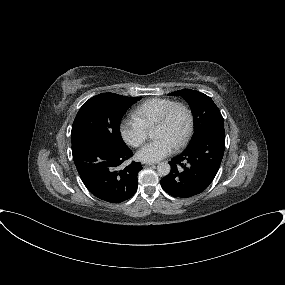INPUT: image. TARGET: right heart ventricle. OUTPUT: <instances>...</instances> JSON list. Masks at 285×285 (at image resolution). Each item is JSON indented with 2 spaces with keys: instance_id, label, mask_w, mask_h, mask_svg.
I'll return each instance as SVG.
<instances>
[{
  "instance_id": "1",
  "label": "right heart ventricle",
  "mask_w": 285,
  "mask_h": 285,
  "mask_svg": "<svg viewBox=\"0 0 285 285\" xmlns=\"http://www.w3.org/2000/svg\"><path fill=\"white\" fill-rule=\"evenodd\" d=\"M175 103L176 101L168 98L149 99L136 107L134 115H136L148 129L154 126L159 118Z\"/></svg>"
}]
</instances>
